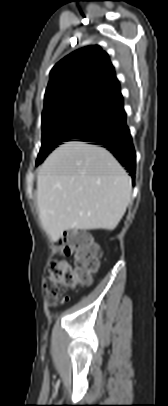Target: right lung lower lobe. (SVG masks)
Returning a JSON list of instances; mask_svg holds the SVG:
<instances>
[{
	"label": "right lung lower lobe",
	"instance_id": "right-lung-lower-lobe-1",
	"mask_svg": "<svg viewBox=\"0 0 168 406\" xmlns=\"http://www.w3.org/2000/svg\"><path fill=\"white\" fill-rule=\"evenodd\" d=\"M112 119L105 125L79 138V141L101 145L109 150L135 180V150L123 108L122 95L110 104Z\"/></svg>",
	"mask_w": 168,
	"mask_h": 406
}]
</instances>
